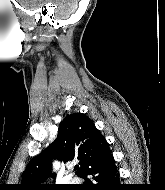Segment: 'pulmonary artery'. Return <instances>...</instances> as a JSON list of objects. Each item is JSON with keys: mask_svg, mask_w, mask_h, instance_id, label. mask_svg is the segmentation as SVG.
<instances>
[{"mask_svg": "<svg viewBox=\"0 0 165 190\" xmlns=\"http://www.w3.org/2000/svg\"><path fill=\"white\" fill-rule=\"evenodd\" d=\"M70 182H71V183H76V182H77V179H76V178H72V179L70 180Z\"/></svg>", "mask_w": 165, "mask_h": 190, "instance_id": "1", "label": "pulmonary artery"}]
</instances>
